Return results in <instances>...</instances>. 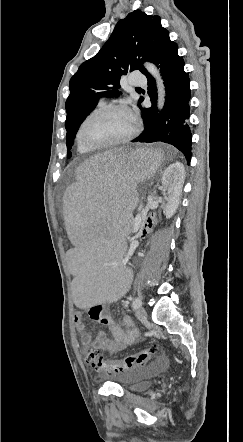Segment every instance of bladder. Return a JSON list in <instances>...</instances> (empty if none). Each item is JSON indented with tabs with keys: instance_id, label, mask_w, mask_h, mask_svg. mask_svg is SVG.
<instances>
[{
	"instance_id": "obj_1",
	"label": "bladder",
	"mask_w": 243,
	"mask_h": 442,
	"mask_svg": "<svg viewBox=\"0 0 243 442\" xmlns=\"http://www.w3.org/2000/svg\"><path fill=\"white\" fill-rule=\"evenodd\" d=\"M159 368L160 365H155L138 369L125 379L121 380L120 383L129 391L143 392L150 387V378Z\"/></svg>"
}]
</instances>
